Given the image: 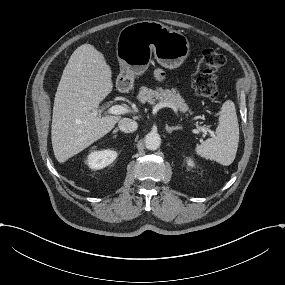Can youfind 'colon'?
<instances>
[{"instance_id": "colon-1", "label": "colon", "mask_w": 285, "mask_h": 285, "mask_svg": "<svg viewBox=\"0 0 285 285\" xmlns=\"http://www.w3.org/2000/svg\"><path fill=\"white\" fill-rule=\"evenodd\" d=\"M225 62L224 55L214 49H205L202 52L192 78L193 88L198 96L209 100L218 97L216 72Z\"/></svg>"}]
</instances>
